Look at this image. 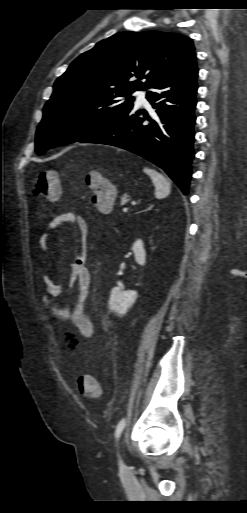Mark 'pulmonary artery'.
I'll return each instance as SVG.
<instances>
[{"instance_id": "pulmonary-artery-1", "label": "pulmonary artery", "mask_w": 247, "mask_h": 513, "mask_svg": "<svg viewBox=\"0 0 247 513\" xmlns=\"http://www.w3.org/2000/svg\"><path fill=\"white\" fill-rule=\"evenodd\" d=\"M146 90H138L135 95L137 98V101L140 103H146Z\"/></svg>"}]
</instances>
